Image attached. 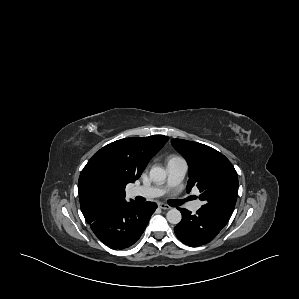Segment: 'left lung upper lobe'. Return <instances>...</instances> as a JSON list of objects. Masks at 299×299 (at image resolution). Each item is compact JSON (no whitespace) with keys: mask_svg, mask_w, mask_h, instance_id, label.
I'll return each instance as SVG.
<instances>
[{"mask_svg":"<svg viewBox=\"0 0 299 299\" xmlns=\"http://www.w3.org/2000/svg\"><path fill=\"white\" fill-rule=\"evenodd\" d=\"M189 166L187 192L196 186L204 205L200 208L220 222L229 221L238 195V176L230 161L217 150L198 142L172 139Z\"/></svg>","mask_w":299,"mask_h":299,"instance_id":"left-lung-upper-lobe-1","label":"left lung upper lobe"}]
</instances>
